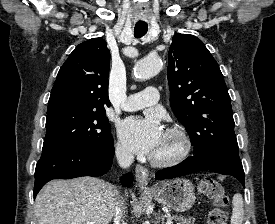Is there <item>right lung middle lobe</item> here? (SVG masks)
Instances as JSON below:
<instances>
[{"mask_svg": "<svg viewBox=\"0 0 275 224\" xmlns=\"http://www.w3.org/2000/svg\"><path fill=\"white\" fill-rule=\"evenodd\" d=\"M111 138L104 110L66 109L47 114L43 149L99 145Z\"/></svg>", "mask_w": 275, "mask_h": 224, "instance_id": "dd1d6c3e", "label": "right lung middle lobe"}]
</instances>
